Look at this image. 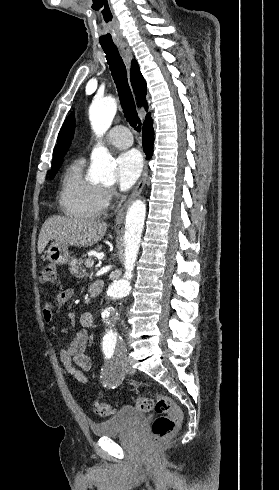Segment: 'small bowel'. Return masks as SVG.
<instances>
[{
    "label": "small bowel",
    "mask_w": 279,
    "mask_h": 490,
    "mask_svg": "<svg viewBox=\"0 0 279 490\" xmlns=\"http://www.w3.org/2000/svg\"><path fill=\"white\" fill-rule=\"evenodd\" d=\"M91 290H94V287ZM73 295V290L67 289L49 300L45 304L42 313L44 321H51L55 312L69 302ZM79 321L83 329L61 350L60 360L66 375L75 377L79 381L86 383L88 379L84 376L83 372L90 368L91 363L89 357L85 354V345L88 338L87 330L94 326V319L90 313H82Z\"/></svg>",
    "instance_id": "obj_1"
}]
</instances>
